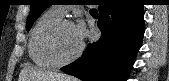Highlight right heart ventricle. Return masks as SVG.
Masks as SVG:
<instances>
[{"label": "right heart ventricle", "instance_id": "1", "mask_svg": "<svg viewBox=\"0 0 169 81\" xmlns=\"http://www.w3.org/2000/svg\"><path fill=\"white\" fill-rule=\"evenodd\" d=\"M61 19L62 16L50 9L39 17L30 32L28 54L32 62L39 67H56V64L47 54L46 39L51 28Z\"/></svg>", "mask_w": 169, "mask_h": 81}]
</instances>
